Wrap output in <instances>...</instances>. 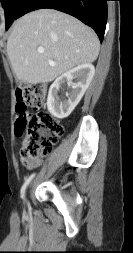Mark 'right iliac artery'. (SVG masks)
Wrapping results in <instances>:
<instances>
[{"mask_svg":"<svg viewBox=\"0 0 133 253\" xmlns=\"http://www.w3.org/2000/svg\"><path fill=\"white\" fill-rule=\"evenodd\" d=\"M35 174H31L28 178L25 179V182L21 188V197L24 199L25 198V190L30 183V181L34 178Z\"/></svg>","mask_w":133,"mask_h":253,"instance_id":"1","label":"right iliac artery"}]
</instances>
